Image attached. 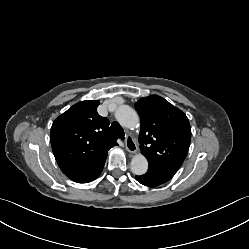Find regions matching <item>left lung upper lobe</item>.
I'll return each mask as SVG.
<instances>
[{"mask_svg":"<svg viewBox=\"0 0 249 249\" xmlns=\"http://www.w3.org/2000/svg\"><path fill=\"white\" fill-rule=\"evenodd\" d=\"M141 119L139 143L149 168L174 175L188 153L191 128L187 116L164 98L151 95L135 103Z\"/></svg>","mask_w":249,"mask_h":249,"instance_id":"1","label":"left lung upper lobe"}]
</instances>
